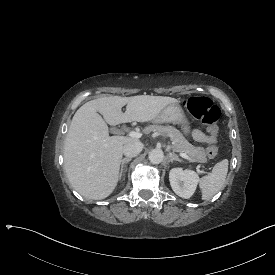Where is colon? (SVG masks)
Listing matches in <instances>:
<instances>
[{
	"mask_svg": "<svg viewBox=\"0 0 275 275\" xmlns=\"http://www.w3.org/2000/svg\"><path fill=\"white\" fill-rule=\"evenodd\" d=\"M183 108L193 118L203 123L211 141L206 154L209 158H214L217 155L215 141L218 135L217 120L221 115L220 109L209 98L197 96L187 98L183 103Z\"/></svg>",
	"mask_w": 275,
	"mask_h": 275,
	"instance_id": "1",
	"label": "colon"
}]
</instances>
